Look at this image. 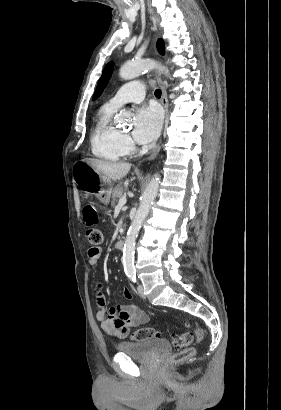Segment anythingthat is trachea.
I'll list each match as a JSON object with an SVG mask.
<instances>
[{
  "label": "trachea",
  "instance_id": "3493384b",
  "mask_svg": "<svg viewBox=\"0 0 281 410\" xmlns=\"http://www.w3.org/2000/svg\"><path fill=\"white\" fill-rule=\"evenodd\" d=\"M154 94H155L156 97L160 98L161 97V90L156 89Z\"/></svg>",
  "mask_w": 281,
  "mask_h": 410
}]
</instances>
